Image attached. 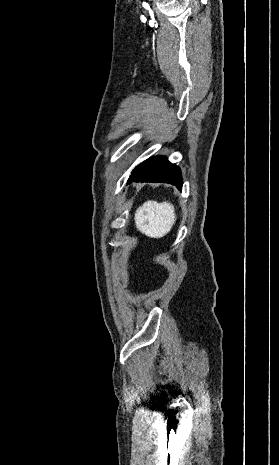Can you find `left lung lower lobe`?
<instances>
[{"label":"left lung lower lobe","instance_id":"1","mask_svg":"<svg viewBox=\"0 0 279 465\" xmlns=\"http://www.w3.org/2000/svg\"><path fill=\"white\" fill-rule=\"evenodd\" d=\"M136 182H164L182 189L180 169L170 163L166 157H152L138 172L129 178L128 183Z\"/></svg>","mask_w":279,"mask_h":465}]
</instances>
